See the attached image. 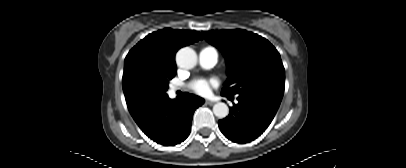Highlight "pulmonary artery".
<instances>
[{
    "instance_id": "1",
    "label": "pulmonary artery",
    "mask_w": 406,
    "mask_h": 168,
    "mask_svg": "<svg viewBox=\"0 0 406 168\" xmlns=\"http://www.w3.org/2000/svg\"><path fill=\"white\" fill-rule=\"evenodd\" d=\"M218 61V53L214 48L207 47L199 52V62L204 68H212ZM178 90L177 87H172V91Z\"/></svg>"
}]
</instances>
